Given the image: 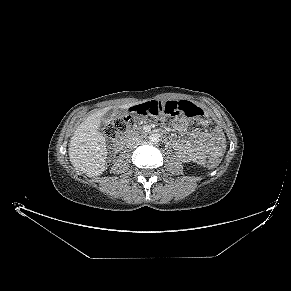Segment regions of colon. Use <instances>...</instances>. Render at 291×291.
<instances>
[{
  "label": "colon",
  "instance_id": "5ec220e1",
  "mask_svg": "<svg viewBox=\"0 0 291 291\" xmlns=\"http://www.w3.org/2000/svg\"><path fill=\"white\" fill-rule=\"evenodd\" d=\"M183 116L186 119L198 118L205 124L209 123L207 113L189 101H150L135 105L126 111L116 112L108 121L106 134L114 138L140 119L148 116L171 117ZM219 165V160L211 159L207 166L211 169Z\"/></svg>",
  "mask_w": 291,
  "mask_h": 291
}]
</instances>
